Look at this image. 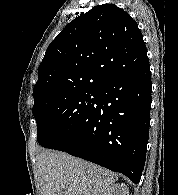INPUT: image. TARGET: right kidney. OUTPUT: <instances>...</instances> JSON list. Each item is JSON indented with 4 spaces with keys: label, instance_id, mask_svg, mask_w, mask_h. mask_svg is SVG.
Returning a JSON list of instances; mask_svg holds the SVG:
<instances>
[{
    "label": "right kidney",
    "instance_id": "1",
    "mask_svg": "<svg viewBox=\"0 0 178 195\" xmlns=\"http://www.w3.org/2000/svg\"><path fill=\"white\" fill-rule=\"evenodd\" d=\"M103 195H129V190L123 183L113 184L104 191Z\"/></svg>",
    "mask_w": 178,
    "mask_h": 195
}]
</instances>
